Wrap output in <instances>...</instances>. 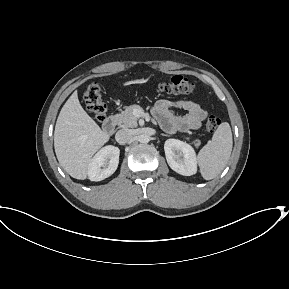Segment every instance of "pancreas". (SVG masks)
<instances>
[{
    "mask_svg": "<svg viewBox=\"0 0 289 289\" xmlns=\"http://www.w3.org/2000/svg\"><path fill=\"white\" fill-rule=\"evenodd\" d=\"M134 111H142V108L139 105H130L120 114H116L114 119L121 127L134 128L137 126V117L134 116ZM194 145L198 146L199 141H194Z\"/></svg>",
    "mask_w": 289,
    "mask_h": 289,
    "instance_id": "obj_1",
    "label": "pancreas"
}]
</instances>
